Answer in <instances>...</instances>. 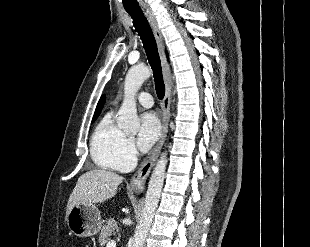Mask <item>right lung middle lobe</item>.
<instances>
[{"label": "right lung middle lobe", "mask_w": 310, "mask_h": 247, "mask_svg": "<svg viewBox=\"0 0 310 247\" xmlns=\"http://www.w3.org/2000/svg\"><path fill=\"white\" fill-rule=\"evenodd\" d=\"M98 116H95V117H93V120H92V122H94V120L97 118Z\"/></svg>", "instance_id": "obj_1"}]
</instances>
